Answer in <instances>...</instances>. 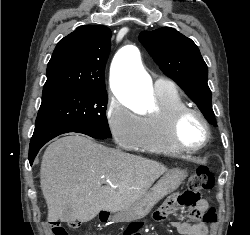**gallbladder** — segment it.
I'll list each match as a JSON object with an SVG mask.
<instances>
[{
	"label": "gallbladder",
	"mask_w": 250,
	"mask_h": 235,
	"mask_svg": "<svg viewBox=\"0 0 250 235\" xmlns=\"http://www.w3.org/2000/svg\"><path fill=\"white\" fill-rule=\"evenodd\" d=\"M70 217H71V210H70L69 208H67V209L64 211V213H63L62 219H63L64 221H68Z\"/></svg>",
	"instance_id": "bac80fb5"
}]
</instances>
